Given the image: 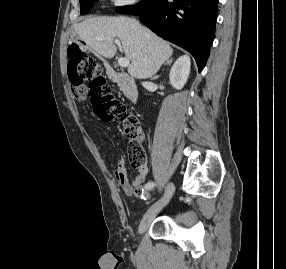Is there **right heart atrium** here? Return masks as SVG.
<instances>
[{
	"instance_id": "1",
	"label": "right heart atrium",
	"mask_w": 286,
	"mask_h": 269,
	"mask_svg": "<svg viewBox=\"0 0 286 269\" xmlns=\"http://www.w3.org/2000/svg\"><path fill=\"white\" fill-rule=\"evenodd\" d=\"M114 7H126L136 4L140 0H110Z\"/></svg>"
}]
</instances>
